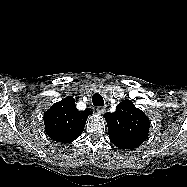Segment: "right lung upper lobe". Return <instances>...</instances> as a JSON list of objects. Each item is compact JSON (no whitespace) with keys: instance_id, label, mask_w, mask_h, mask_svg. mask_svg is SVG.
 Here are the masks:
<instances>
[{"instance_id":"1","label":"right lung upper lobe","mask_w":187,"mask_h":187,"mask_svg":"<svg viewBox=\"0 0 187 187\" xmlns=\"http://www.w3.org/2000/svg\"><path fill=\"white\" fill-rule=\"evenodd\" d=\"M91 114L92 111L79 112L75 99L68 96L45 112V131L54 141L70 143L82 134L87 117Z\"/></svg>"}]
</instances>
